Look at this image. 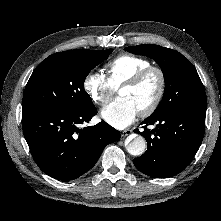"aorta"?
<instances>
[{
    "instance_id": "aorta-1",
    "label": "aorta",
    "mask_w": 221,
    "mask_h": 221,
    "mask_svg": "<svg viewBox=\"0 0 221 221\" xmlns=\"http://www.w3.org/2000/svg\"><path fill=\"white\" fill-rule=\"evenodd\" d=\"M146 147L147 145L144 137L141 135H136L127 145V151L133 156H140L145 152Z\"/></svg>"
}]
</instances>
